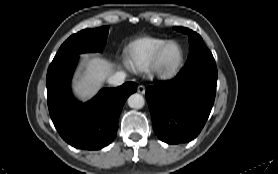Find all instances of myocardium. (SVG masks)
<instances>
[{
    "mask_svg": "<svg viewBox=\"0 0 278 174\" xmlns=\"http://www.w3.org/2000/svg\"><path fill=\"white\" fill-rule=\"evenodd\" d=\"M171 45H176L178 47L180 56H179V60L173 67H171L169 69H165L161 66V56H162L163 52L165 51V49ZM184 58H185L184 50H183L181 44L177 41L169 40V41L165 42L163 45H161L158 48V50L155 52V54L151 60L149 69H150L151 73L159 79H163V80L170 79V78L174 77L180 71V69L182 68V66L184 64Z\"/></svg>",
    "mask_w": 278,
    "mask_h": 174,
    "instance_id": "obj_1",
    "label": "myocardium"
}]
</instances>
